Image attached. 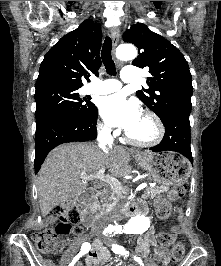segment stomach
Returning a JSON list of instances; mask_svg holds the SVG:
<instances>
[{
    "mask_svg": "<svg viewBox=\"0 0 221 266\" xmlns=\"http://www.w3.org/2000/svg\"><path fill=\"white\" fill-rule=\"evenodd\" d=\"M136 159L143 169L152 173L155 181L164 185L184 183L191 173L190 163L176 153H145Z\"/></svg>",
    "mask_w": 221,
    "mask_h": 266,
    "instance_id": "stomach-1",
    "label": "stomach"
}]
</instances>
